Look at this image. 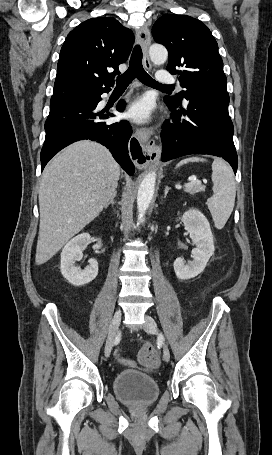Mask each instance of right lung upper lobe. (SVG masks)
<instances>
[{"label": "right lung upper lobe", "mask_w": 272, "mask_h": 455, "mask_svg": "<svg viewBox=\"0 0 272 455\" xmlns=\"http://www.w3.org/2000/svg\"><path fill=\"white\" fill-rule=\"evenodd\" d=\"M133 43L132 31L115 18L97 17L78 25L61 48L50 103L109 91ZM108 68H114V72L108 73Z\"/></svg>", "instance_id": "1"}]
</instances>
